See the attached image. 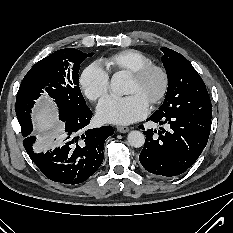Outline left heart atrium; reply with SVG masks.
<instances>
[{"mask_svg": "<svg viewBox=\"0 0 233 233\" xmlns=\"http://www.w3.org/2000/svg\"><path fill=\"white\" fill-rule=\"evenodd\" d=\"M148 104L137 94L124 97L107 96L97 106L100 121L113 124H129L142 119Z\"/></svg>", "mask_w": 233, "mask_h": 233, "instance_id": "obj_1", "label": "left heart atrium"}]
</instances>
